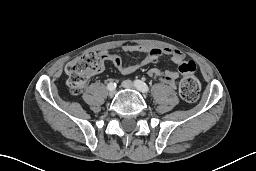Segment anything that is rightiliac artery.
<instances>
[{
    "instance_id": "1",
    "label": "right iliac artery",
    "mask_w": 256,
    "mask_h": 171,
    "mask_svg": "<svg viewBox=\"0 0 256 171\" xmlns=\"http://www.w3.org/2000/svg\"><path fill=\"white\" fill-rule=\"evenodd\" d=\"M116 87V83L115 82H110L108 85H107V88L110 90V89H113Z\"/></svg>"
}]
</instances>
